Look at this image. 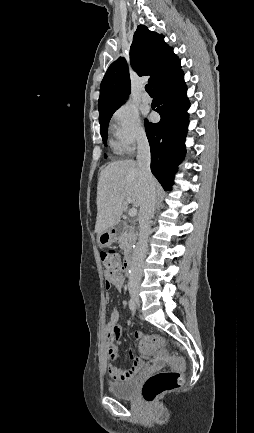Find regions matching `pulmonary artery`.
I'll list each match as a JSON object with an SVG mask.
<instances>
[{
  "label": "pulmonary artery",
  "mask_w": 254,
  "mask_h": 433,
  "mask_svg": "<svg viewBox=\"0 0 254 433\" xmlns=\"http://www.w3.org/2000/svg\"><path fill=\"white\" fill-rule=\"evenodd\" d=\"M142 101H143L144 103L148 104V103H150L151 99H150L149 95L145 93V94L142 96Z\"/></svg>",
  "instance_id": "pulmonary-artery-1"
}]
</instances>
